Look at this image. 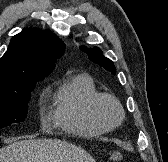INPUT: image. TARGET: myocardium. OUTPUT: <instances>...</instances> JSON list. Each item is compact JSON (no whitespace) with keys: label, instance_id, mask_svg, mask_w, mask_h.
I'll return each mask as SVG.
<instances>
[{"label":"myocardium","instance_id":"1","mask_svg":"<svg viewBox=\"0 0 168 162\" xmlns=\"http://www.w3.org/2000/svg\"><path fill=\"white\" fill-rule=\"evenodd\" d=\"M106 101L112 103L117 110L118 116L114 122L108 121L102 113L101 106ZM90 113L98 123L108 130L120 126L124 119V109L121 102L110 93H97L91 100Z\"/></svg>","mask_w":168,"mask_h":162}]
</instances>
